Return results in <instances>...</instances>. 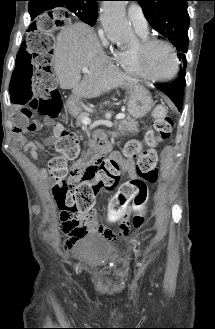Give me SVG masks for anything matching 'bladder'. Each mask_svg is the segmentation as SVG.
<instances>
[{
	"label": "bladder",
	"mask_w": 215,
	"mask_h": 329,
	"mask_svg": "<svg viewBox=\"0 0 215 329\" xmlns=\"http://www.w3.org/2000/svg\"><path fill=\"white\" fill-rule=\"evenodd\" d=\"M73 250L78 262L88 271L101 269L105 263L119 259L122 254L118 245L98 233H89L77 240Z\"/></svg>",
	"instance_id": "1"
}]
</instances>
